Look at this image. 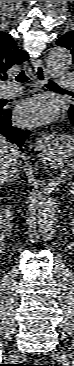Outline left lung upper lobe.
Returning <instances> with one entry per match:
<instances>
[{"instance_id":"obj_1","label":"left lung upper lobe","mask_w":74,"mask_h":366,"mask_svg":"<svg viewBox=\"0 0 74 366\" xmlns=\"http://www.w3.org/2000/svg\"><path fill=\"white\" fill-rule=\"evenodd\" d=\"M57 45L67 48L71 52L74 61V31L66 32V34L61 36L57 40ZM71 95L74 97V92H72Z\"/></svg>"}]
</instances>
